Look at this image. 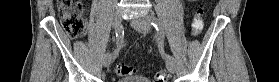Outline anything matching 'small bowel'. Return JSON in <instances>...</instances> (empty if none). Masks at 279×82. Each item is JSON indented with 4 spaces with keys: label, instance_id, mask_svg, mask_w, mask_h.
<instances>
[{
    "label": "small bowel",
    "instance_id": "1",
    "mask_svg": "<svg viewBox=\"0 0 279 82\" xmlns=\"http://www.w3.org/2000/svg\"><path fill=\"white\" fill-rule=\"evenodd\" d=\"M126 45H127V42H126L125 40L119 41L118 44L115 45L113 52L115 51V49H116L117 47H119L120 50H121V49L124 48ZM118 55H119V53H118ZM118 55H116V58L118 57Z\"/></svg>",
    "mask_w": 279,
    "mask_h": 82
}]
</instances>
